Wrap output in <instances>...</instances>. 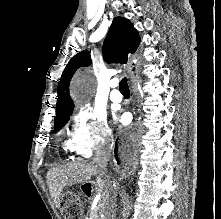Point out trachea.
<instances>
[{"mask_svg": "<svg viewBox=\"0 0 221 219\" xmlns=\"http://www.w3.org/2000/svg\"><path fill=\"white\" fill-rule=\"evenodd\" d=\"M119 88L121 92H129V87H128V83H127V78L124 77L119 84Z\"/></svg>", "mask_w": 221, "mask_h": 219, "instance_id": "1", "label": "trachea"}]
</instances>
